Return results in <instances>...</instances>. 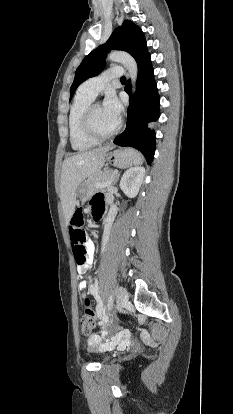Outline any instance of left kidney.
Listing matches in <instances>:
<instances>
[{
  "label": "left kidney",
  "instance_id": "1",
  "mask_svg": "<svg viewBox=\"0 0 233 414\" xmlns=\"http://www.w3.org/2000/svg\"><path fill=\"white\" fill-rule=\"evenodd\" d=\"M145 175V168L136 166L128 169L122 176L120 188L130 198L137 196Z\"/></svg>",
  "mask_w": 233,
  "mask_h": 414
}]
</instances>
